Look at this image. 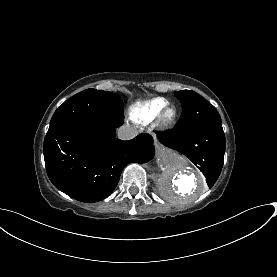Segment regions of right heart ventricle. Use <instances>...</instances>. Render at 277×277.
<instances>
[{
  "instance_id": "e07e8e85",
  "label": "right heart ventricle",
  "mask_w": 277,
  "mask_h": 277,
  "mask_svg": "<svg viewBox=\"0 0 277 277\" xmlns=\"http://www.w3.org/2000/svg\"><path fill=\"white\" fill-rule=\"evenodd\" d=\"M168 104L165 98H155L147 102L136 103L128 109V118L139 124L152 122L160 109Z\"/></svg>"
}]
</instances>
